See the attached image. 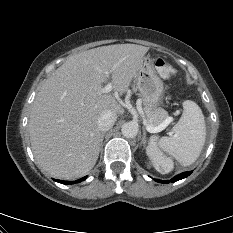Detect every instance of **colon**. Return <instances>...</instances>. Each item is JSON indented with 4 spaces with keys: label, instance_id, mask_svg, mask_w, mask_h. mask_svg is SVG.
Returning a JSON list of instances; mask_svg holds the SVG:
<instances>
[{
    "label": "colon",
    "instance_id": "1",
    "mask_svg": "<svg viewBox=\"0 0 233 233\" xmlns=\"http://www.w3.org/2000/svg\"><path fill=\"white\" fill-rule=\"evenodd\" d=\"M155 67L158 74L164 79H169L176 73L175 69L163 58L156 59ZM147 154L152 164L159 172L169 173L174 169V161L162 152L156 137L150 140L147 147Z\"/></svg>",
    "mask_w": 233,
    "mask_h": 233
}]
</instances>
